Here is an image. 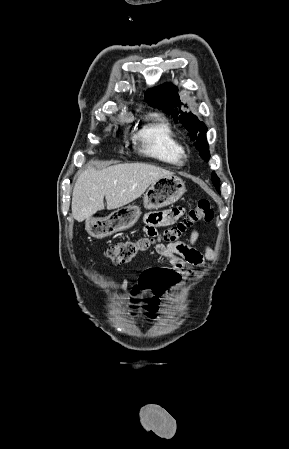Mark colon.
I'll list each match as a JSON object with an SVG mask.
<instances>
[{"label":"colon","instance_id":"1","mask_svg":"<svg viewBox=\"0 0 289 449\" xmlns=\"http://www.w3.org/2000/svg\"><path fill=\"white\" fill-rule=\"evenodd\" d=\"M214 216L210 202L207 199H200L195 202L193 208L184 215L183 219L175 225L164 230L162 235L145 236L135 240H127L111 245L104 251L105 257L114 264H124L130 262L138 254L148 251L151 247L161 243V241L172 244L178 243L180 238L197 223L212 221ZM180 272L174 268H144L140 271L139 280L135 284L136 291L133 298L134 304H149L152 309L156 305L164 303L166 292L170 285H177L180 279ZM138 291L152 292L149 297H137ZM155 294V295H154Z\"/></svg>","mask_w":289,"mask_h":449}]
</instances>
